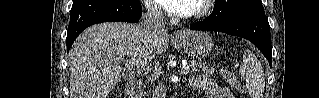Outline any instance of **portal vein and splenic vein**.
Masks as SVG:
<instances>
[{
	"label": "portal vein and splenic vein",
	"instance_id": "portal-vein-and-splenic-vein-1",
	"mask_svg": "<svg viewBox=\"0 0 319 98\" xmlns=\"http://www.w3.org/2000/svg\"><path fill=\"white\" fill-rule=\"evenodd\" d=\"M131 65H133V66H144V63H143L142 61H140V60L134 58V59L131 61ZM189 70H190V67H189L188 65H184V66L182 67L181 72L186 75V74L189 73Z\"/></svg>",
	"mask_w": 319,
	"mask_h": 98
}]
</instances>
